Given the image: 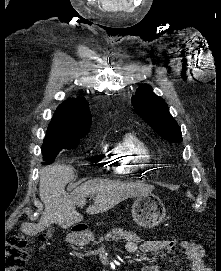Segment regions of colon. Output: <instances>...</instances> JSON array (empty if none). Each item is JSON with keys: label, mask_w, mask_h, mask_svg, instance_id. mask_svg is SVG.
<instances>
[{"label": "colon", "mask_w": 221, "mask_h": 271, "mask_svg": "<svg viewBox=\"0 0 221 271\" xmlns=\"http://www.w3.org/2000/svg\"><path fill=\"white\" fill-rule=\"evenodd\" d=\"M40 239L51 238L50 232L39 235ZM32 244L24 233L10 237L6 256L1 261L3 271H23L24 262L32 253ZM3 265V268H2Z\"/></svg>", "instance_id": "colon-1"}]
</instances>
